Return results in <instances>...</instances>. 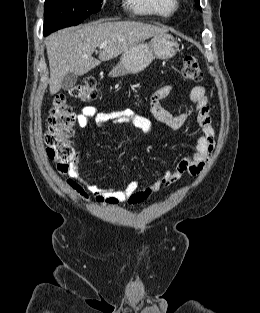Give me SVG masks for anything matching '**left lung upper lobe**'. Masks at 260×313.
Listing matches in <instances>:
<instances>
[{
  "label": "left lung upper lobe",
  "mask_w": 260,
  "mask_h": 313,
  "mask_svg": "<svg viewBox=\"0 0 260 313\" xmlns=\"http://www.w3.org/2000/svg\"><path fill=\"white\" fill-rule=\"evenodd\" d=\"M195 1H196L197 5H198V8L201 9L200 8V4H199V0H195Z\"/></svg>",
  "instance_id": "1"
}]
</instances>
